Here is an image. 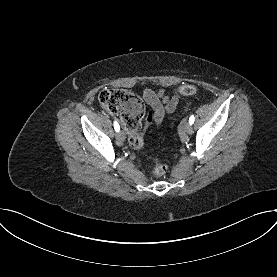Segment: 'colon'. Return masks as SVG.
<instances>
[{"label": "colon", "instance_id": "1", "mask_svg": "<svg viewBox=\"0 0 277 277\" xmlns=\"http://www.w3.org/2000/svg\"><path fill=\"white\" fill-rule=\"evenodd\" d=\"M179 94L191 96L196 94L197 88L194 85H183L178 89ZM101 105L112 113L120 115L121 121L129 132V144L135 150H142L144 140L140 133L142 120L146 116V108L140 97L125 89L106 88L98 96ZM154 114L149 113L147 121L152 122ZM167 165L156 160L151 174L154 177H161L167 172Z\"/></svg>", "mask_w": 277, "mask_h": 277}]
</instances>
